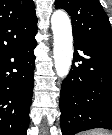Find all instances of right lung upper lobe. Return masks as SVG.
<instances>
[{"instance_id": "obj_1", "label": "right lung upper lobe", "mask_w": 112, "mask_h": 135, "mask_svg": "<svg viewBox=\"0 0 112 135\" xmlns=\"http://www.w3.org/2000/svg\"><path fill=\"white\" fill-rule=\"evenodd\" d=\"M33 0H0V55L36 35Z\"/></svg>"}]
</instances>
